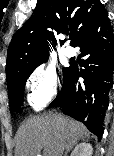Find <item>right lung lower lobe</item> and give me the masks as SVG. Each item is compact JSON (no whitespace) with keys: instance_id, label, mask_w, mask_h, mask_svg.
Masks as SVG:
<instances>
[{"instance_id":"obj_1","label":"right lung lower lobe","mask_w":114,"mask_h":156,"mask_svg":"<svg viewBox=\"0 0 114 156\" xmlns=\"http://www.w3.org/2000/svg\"><path fill=\"white\" fill-rule=\"evenodd\" d=\"M84 69L71 64L62 90L51 105L61 107L64 114L84 123L100 140L103 121L113 86L114 33L105 8L76 37ZM82 77L84 81H79Z\"/></svg>"}]
</instances>
